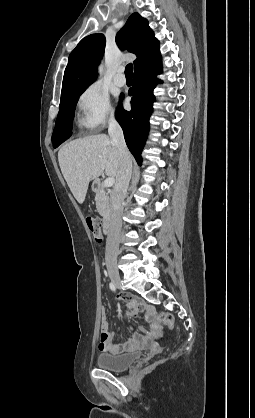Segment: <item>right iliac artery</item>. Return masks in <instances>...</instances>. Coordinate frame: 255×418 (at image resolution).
<instances>
[{"label":"right iliac artery","mask_w":255,"mask_h":418,"mask_svg":"<svg viewBox=\"0 0 255 418\" xmlns=\"http://www.w3.org/2000/svg\"><path fill=\"white\" fill-rule=\"evenodd\" d=\"M109 287H110V289H111L112 291H116V286H115V284H114L113 282H111V283L109 284Z\"/></svg>","instance_id":"1"}]
</instances>
